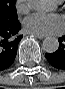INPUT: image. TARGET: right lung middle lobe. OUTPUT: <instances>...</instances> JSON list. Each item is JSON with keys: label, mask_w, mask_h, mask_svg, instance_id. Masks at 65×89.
I'll use <instances>...</instances> for the list:
<instances>
[{"label": "right lung middle lobe", "mask_w": 65, "mask_h": 89, "mask_svg": "<svg viewBox=\"0 0 65 89\" xmlns=\"http://www.w3.org/2000/svg\"><path fill=\"white\" fill-rule=\"evenodd\" d=\"M15 0H0V23L16 22Z\"/></svg>", "instance_id": "dd1d6c3e"}]
</instances>
